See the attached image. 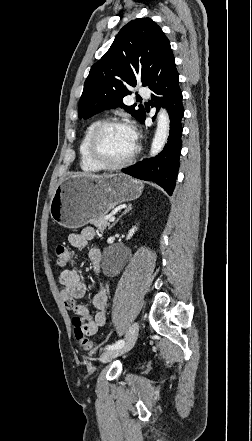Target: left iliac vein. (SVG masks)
<instances>
[{
  "label": "left iliac vein",
  "mask_w": 252,
  "mask_h": 441,
  "mask_svg": "<svg viewBox=\"0 0 252 441\" xmlns=\"http://www.w3.org/2000/svg\"><path fill=\"white\" fill-rule=\"evenodd\" d=\"M138 331H139V325L137 322H134L129 327V329L125 335L124 345L121 348L110 349V350L103 352L99 357L100 362L107 363L110 360L130 351L136 342V339L138 336Z\"/></svg>",
  "instance_id": "1"
}]
</instances>
